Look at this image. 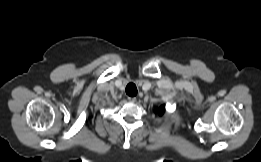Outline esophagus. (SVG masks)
I'll use <instances>...</instances> for the list:
<instances>
[{
	"label": "esophagus",
	"instance_id": "obj_1",
	"mask_svg": "<svg viewBox=\"0 0 261 162\" xmlns=\"http://www.w3.org/2000/svg\"><path fill=\"white\" fill-rule=\"evenodd\" d=\"M128 100H129L130 102H135V101H136V97H128Z\"/></svg>",
	"mask_w": 261,
	"mask_h": 162
}]
</instances>
